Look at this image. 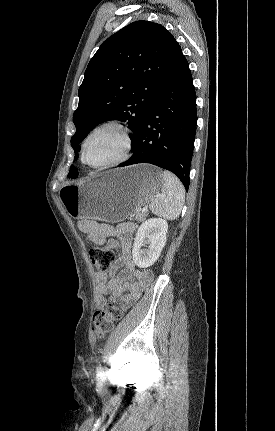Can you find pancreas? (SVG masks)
<instances>
[{"label":"pancreas","instance_id":"obj_1","mask_svg":"<svg viewBox=\"0 0 275 431\" xmlns=\"http://www.w3.org/2000/svg\"><path fill=\"white\" fill-rule=\"evenodd\" d=\"M147 214L143 213V214H137L133 217L134 220H136L137 222H142L145 220Z\"/></svg>","mask_w":275,"mask_h":431}]
</instances>
